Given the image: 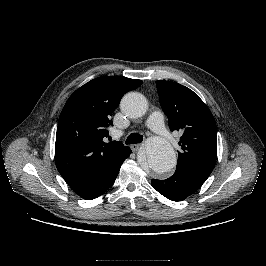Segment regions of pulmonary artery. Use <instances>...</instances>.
I'll return each instance as SVG.
<instances>
[{"label": "pulmonary artery", "instance_id": "e3ab8cb5", "mask_svg": "<svg viewBox=\"0 0 266 266\" xmlns=\"http://www.w3.org/2000/svg\"><path fill=\"white\" fill-rule=\"evenodd\" d=\"M147 126L150 128L153 132L158 134L159 136L169 139L170 135L168 131L165 129L163 124V115L159 111H155L148 117L147 120Z\"/></svg>", "mask_w": 266, "mask_h": 266}]
</instances>
